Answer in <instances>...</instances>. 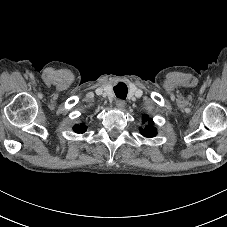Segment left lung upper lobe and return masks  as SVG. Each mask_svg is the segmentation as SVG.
Instances as JSON below:
<instances>
[{
	"label": "left lung upper lobe",
	"instance_id": "5c2ea615",
	"mask_svg": "<svg viewBox=\"0 0 227 227\" xmlns=\"http://www.w3.org/2000/svg\"><path fill=\"white\" fill-rule=\"evenodd\" d=\"M149 120V125L146 126L144 129L141 130V133L143 136L145 137H154L157 134L156 129L152 126L153 125V121L151 119H149V117L147 115H145L143 117V122Z\"/></svg>",
	"mask_w": 227,
	"mask_h": 227
}]
</instances>
